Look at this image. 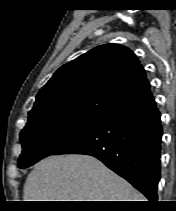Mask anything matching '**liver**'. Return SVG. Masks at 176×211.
<instances>
[{
  "label": "liver",
  "mask_w": 176,
  "mask_h": 211,
  "mask_svg": "<svg viewBox=\"0 0 176 211\" xmlns=\"http://www.w3.org/2000/svg\"><path fill=\"white\" fill-rule=\"evenodd\" d=\"M24 201H144L126 180L88 155H53L27 176Z\"/></svg>",
  "instance_id": "6515ba94"
}]
</instances>
